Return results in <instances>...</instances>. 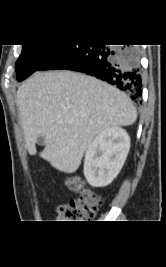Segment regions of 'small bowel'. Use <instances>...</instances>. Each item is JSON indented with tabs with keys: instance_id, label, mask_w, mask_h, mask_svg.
<instances>
[{
	"instance_id": "obj_1",
	"label": "small bowel",
	"mask_w": 166,
	"mask_h": 267,
	"mask_svg": "<svg viewBox=\"0 0 166 267\" xmlns=\"http://www.w3.org/2000/svg\"><path fill=\"white\" fill-rule=\"evenodd\" d=\"M68 187L70 188V190L75 191L71 186V181L68 182Z\"/></svg>"
}]
</instances>
